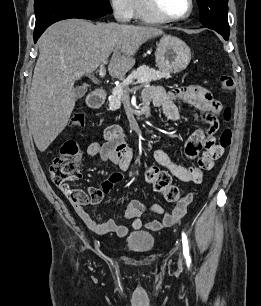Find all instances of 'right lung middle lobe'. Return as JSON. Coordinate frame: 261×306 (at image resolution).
<instances>
[{"label":"right lung middle lobe","mask_w":261,"mask_h":306,"mask_svg":"<svg viewBox=\"0 0 261 306\" xmlns=\"http://www.w3.org/2000/svg\"><path fill=\"white\" fill-rule=\"evenodd\" d=\"M35 2L66 4L97 9L105 12H112L109 0H35Z\"/></svg>","instance_id":"dd1d6c3e"}]
</instances>
